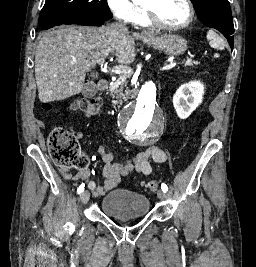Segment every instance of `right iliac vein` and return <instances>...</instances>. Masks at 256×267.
Returning <instances> with one entry per match:
<instances>
[{"mask_svg": "<svg viewBox=\"0 0 256 267\" xmlns=\"http://www.w3.org/2000/svg\"><path fill=\"white\" fill-rule=\"evenodd\" d=\"M90 195L88 191H85L81 194L80 200L82 204H86L89 201Z\"/></svg>", "mask_w": 256, "mask_h": 267, "instance_id": "right-iliac-vein-1", "label": "right iliac vein"}]
</instances>
